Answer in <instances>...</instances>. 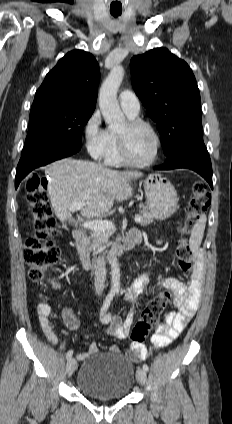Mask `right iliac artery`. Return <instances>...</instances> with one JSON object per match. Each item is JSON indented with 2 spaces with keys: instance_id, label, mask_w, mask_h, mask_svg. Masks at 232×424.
<instances>
[{
  "instance_id": "82829eb1",
  "label": "right iliac artery",
  "mask_w": 232,
  "mask_h": 424,
  "mask_svg": "<svg viewBox=\"0 0 232 424\" xmlns=\"http://www.w3.org/2000/svg\"><path fill=\"white\" fill-rule=\"evenodd\" d=\"M113 296H114V294H112V293H109L106 296V299H105L103 306L101 308L100 316H103L106 313V311H107L108 307L110 306V303L113 299ZM72 354H73V350H69L66 354V358L67 359L71 358Z\"/></svg>"
}]
</instances>
